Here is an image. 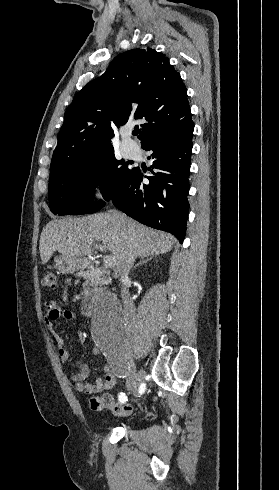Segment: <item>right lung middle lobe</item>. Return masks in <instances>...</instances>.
Instances as JSON below:
<instances>
[{
  "mask_svg": "<svg viewBox=\"0 0 279 490\" xmlns=\"http://www.w3.org/2000/svg\"><path fill=\"white\" fill-rule=\"evenodd\" d=\"M134 168L117 160L114 149L49 180L50 210L58 215L94 213L105 205L93 202L92 194L99 185L106 201L124 184Z\"/></svg>",
  "mask_w": 279,
  "mask_h": 490,
  "instance_id": "right-lung-middle-lobe-1",
  "label": "right lung middle lobe"
}]
</instances>
